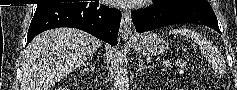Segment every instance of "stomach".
<instances>
[{"label":"stomach","instance_id":"0dacf381","mask_svg":"<svg viewBox=\"0 0 237 90\" xmlns=\"http://www.w3.org/2000/svg\"><path fill=\"white\" fill-rule=\"evenodd\" d=\"M131 46L137 53L145 56H153L164 53L168 45L158 35L152 32L144 33L131 42Z\"/></svg>","mask_w":237,"mask_h":90}]
</instances>
